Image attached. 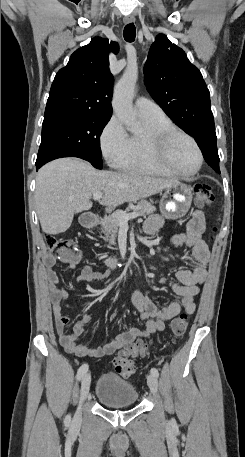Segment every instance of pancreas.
<instances>
[{
	"mask_svg": "<svg viewBox=\"0 0 245 457\" xmlns=\"http://www.w3.org/2000/svg\"><path fill=\"white\" fill-rule=\"evenodd\" d=\"M129 210H133V212H138L139 216H146V214H152L157 210L156 206H153L152 200L148 202V200H139L137 204H133V206H127L125 210H115L113 214H108V216H103L101 218L99 224L102 226V233H104L105 241H109V245H116L115 239L117 237V233L119 231L120 220L118 216H115L117 212H125V214H131ZM108 249H114V247H108ZM118 251V249H115Z\"/></svg>",
	"mask_w": 245,
	"mask_h": 457,
	"instance_id": "1",
	"label": "pancreas"
}]
</instances>
